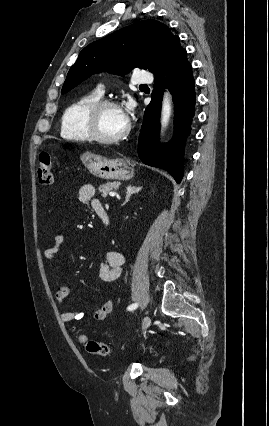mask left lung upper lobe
Listing matches in <instances>:
<instances>
[{"mask_svg":"<svg viewBox=\"0 0 269 426\" xmlns=\"http://www.w3.org/2000/svg\"><path fill=\"white\" fill-rule=\"evenodd\" d=\"M177 37L156 20L140 21L107 35L80 52L61 94L99 72L123 75L136 67L150 71Z\"/></svg>","mask_w":269,"mask_h":426,"instance_id":"left-lung-upper-lobe-1","label":"left lung upper lobe"}]
</instances>
